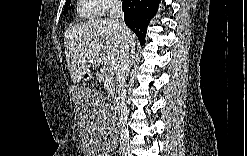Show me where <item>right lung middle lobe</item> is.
<instances>
[{
    "mask_svg": "<svg viewBox=\"0 0 247 156\" xmlns=\"http://www.w3.org/2000/svg\"><path fill=\"white\" fill-rule=\"evenodd\" d=\"M70 1L65 3V9H64V14H66L68 12V5H69Z\"/></svg>",
    "mask_w": 247,
    "mask_h": 156,
    "instance_id": "obj_1",
    "label": "right lung middle lobe"
}]
</instances>
